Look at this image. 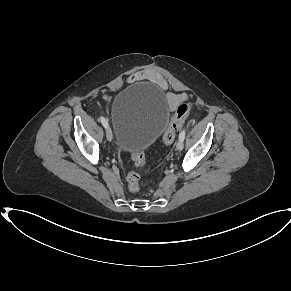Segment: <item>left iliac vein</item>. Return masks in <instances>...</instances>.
I'll return each mask as SVG.
<instances>
[{
    "mask_svg": "<svg viewBox=\"0 0 291 291\" xmlns=\"http://www.w3.org/2000/svg\"><path fill=\"white\" fill-rule=\"evenodd\" d=\"M183 147H184V140L179 139L177 144H176V148L178 151H181L183 149Z\"/></svg>",
    "mask_w": 291,
    "mask_h": 291,
    "instance_id": "1",
    "label": "left iliac vein"
}]
</instances>
